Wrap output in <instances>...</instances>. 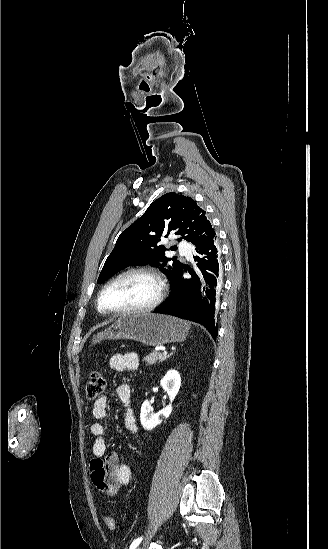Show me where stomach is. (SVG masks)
<instances>
[{"instance_id": "stomach-1", "label": "stomach", "mask_w": 328, "mask_h": 549, "mask_svg": "<svg viewBox=\"0 0 328 549\" xmlns=\"http://www.w3.org/2000/svg\"><path fill=\"white\" fill-rule=\"evenodd\" d=\"M189 329L188 323L177 317L132 311L118 317L102 333L94 335L91 345H97L103 339H133L149 347H160L166 343H182Z\"/></svg>"}]
</instances>
